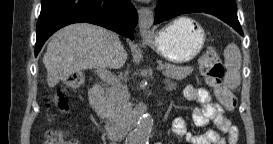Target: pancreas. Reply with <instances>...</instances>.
<instances>
[{"mask_svg": "<svg viewBox=\"0 0 273 144\" xmlns=\"http://www.w3.org/2000/svg\"><path fill=\"white\" fill-rule=\"evenodd\" d=\"M164 66L163 74L171 79L182 80L190 75L192 67H183L172 65L170 63L162 64ZM131 110L126 88L112 86L106 89V102L102 117L110 123H119L128 115Z\"/></svg>", "mask_w": 273, "mask_h": 144, "instance_id": "1", "label": "pancreas"}]
</instances>
